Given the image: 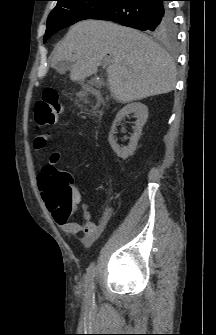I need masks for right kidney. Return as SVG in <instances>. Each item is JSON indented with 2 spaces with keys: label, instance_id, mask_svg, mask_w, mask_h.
Segmentation results:
<instances>
[{
  "label": "right kidney",
  "instance_id": "1",
  "mask_svg": "<svg viewBox=\"0 0 216 335\" xmlns=\"http://www.w3.org/2000/svg\"><path fill=\"white\" fill-rule=\"evenodd\" d=\"M132 113L137 118V120L134 123L135 124L134 133L130 138V142L128 146L119 147L116 144V140L114 138V132H115L116 125L118 122L122 121L124 117ZM147 118H148V108L146 105L140 102L128 104L117 113L115 120L112 124L111 131L109 133L108 141L113 151L116 153L118 157L122 159H126L133 154V152L135 151L137 147L138 140L141 136L142 128L144 124L146 123Z\"/></svg>",
  "mask_w": 216,
  "mask_h": 335
}]
</instances>
